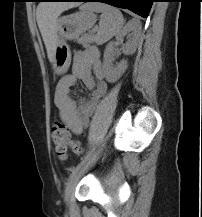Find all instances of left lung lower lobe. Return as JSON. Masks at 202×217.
Instances as JSON below:
<instances>
[{"label": "left lung lower lobe", "instance_id": "left-lung-lower-lobe-1", "mask_svg": "<svg viewBox=\"0 0 202 217\" xmlns=\"http://www.w3.org/2000/svg\"><path fill=\"white\" fill-rule=\"evenodd\" d=\"M41 1H73V2H102L109 5L126 8L141 17H148L152 3L155 0H41Z\"/></svg>", "mask_w": 202, "mask_h": 217}]
</instances>
